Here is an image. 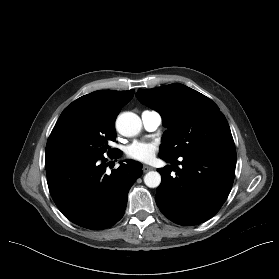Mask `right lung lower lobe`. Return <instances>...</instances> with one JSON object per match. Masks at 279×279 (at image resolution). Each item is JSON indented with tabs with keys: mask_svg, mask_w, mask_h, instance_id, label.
<instances>
[{
	"mask_svg": "<svg viewBox=\"0 0 279 279\" xmlns=\"http://www.w3.org/2000/svg\"><path fill=\"white\" fill-rule=\"evenodd\" d=\"M116 150L112 158L121 157ZM106 158L65 157L46 161L50 194L71 222L92 230L113 226L127 205L132 184L142 175V164L128 160L106 174Z\"/></svg>",
	"mask_w": 279,
	"mask_h": 279,
	"instance_id": "obj_1",
	"label": "right lung lower lobe"
}]
</instances>
